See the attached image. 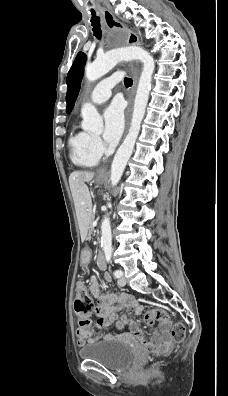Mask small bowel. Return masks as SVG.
I'll return each instance as SVG.
<instances>
[{
    "mask_svg": "<svg viewBox=\"0 0 228 396\" xmlns=\"http://www.w3.org/2000/svg\"><path fill=\"white\" fill-rule=\"evenodd\" d=\"M90 261V253L85 251L82 255V263L87 265ZM104 280L107 283H111L112 279L109 274H104ZM89 290L93 297L97 300L98 305L94 308V314L99 317L97 322V328H78V345L84 346L88 343H95L103 340L111 339H132L137 338L143 342L148 350L156 352L161 355L168 354L173 347L172 342L168 339L166 331L163 330L162 333H155L150 339H147L140 331L137 323L133 321L127 315L120 317V322L130 329L129 333L123 334H110L104 333L99 334L100 329H105L110 327L118 318L117 308H126L129 312H134L140 314L143 311L141 305L128 294H117V293H107L101 294L100 285L98 279L95 275H92L89 280Z\"/></svg>",
    "mask_w": 228,
    "mask_h": 396,
    "instance_id": "small-bowel-1",
    "label": "small bowel"
}]
</instances>
